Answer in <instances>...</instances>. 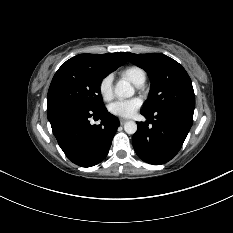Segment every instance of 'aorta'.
Wrapping results in <instances>:
<instances>
[{
	"instance_id": "762f6f07",
	"label": "aorta",
	"mask_w": 233,
	"mask_h": 233,
	"mask_svg": "<svg viewBox=\"0 0 233 233\" xmlns=\"http://www.w3.org/2000/svg\"><path fill=\"white\" fill-rule=\"evenodd\" d=\"M115 95L120 98H130L135 91L131 84L127 81H119L114 89ZM124 130L127 134H134L137 131V124L134 121H128L124 124Z\"/></svg>"
}]
</instances>
